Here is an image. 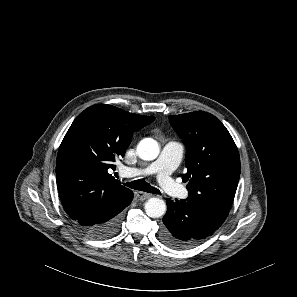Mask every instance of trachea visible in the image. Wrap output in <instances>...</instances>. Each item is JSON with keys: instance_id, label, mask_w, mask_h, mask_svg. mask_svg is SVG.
<instances>
[{"instance_id": "obj_1", "label": "trachea", "mask_w": 297, "mask_h": 297, "mask_svg": "<svg viewBox=\"0 0 297 297\" xmlns=\"http://www.w3.org/2000/svg\"><path fill=\"white\" fill-rule=\"evenodd\" d=\"M123 184L131 189L140 190V191L153 193V194H161V192L157 188L152 187L143 179H139L132 182L123 183Z\"/></svg>"}]
</instances>
